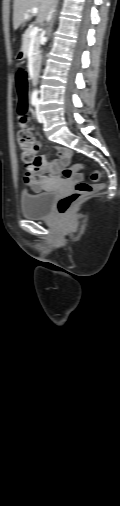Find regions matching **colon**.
<instances>
[{
	"label": "colon",
	"mask_w": 120,
	"mask_h": 506,
	"mask_svg": "<svg viewBox=\"0 0 120 506\" xmlns=\"http://www.w3.org/2000/svg\"><path fill=\"white\" fill-rule=\"evenodd\" d=\"M17 51V50H16ZM17 60H24L25 58H18ZM29 71L27 69H18L16 71V87L18 93V101H17V114L18 121L21 125H24L27 121V110H28V101H27V92H28V79ZM18 144L20 148L21 161L23 164V168L28 172H34L39 167V157L37 156L38 146L37 142L34 139L32 133L26 130H20L17 134ZM82 165H77L72 168H66L62 171V174L65 178H70L76 171L82 169ZM99 172H93L91 175V180L94 183H88L85 181H78L75 185V189L73 192L62 196L57 202V211L60 214L67 213L78 201L83 198L89 196L90 194L98 191L101 188V185L97 182L100 179Z\"/></svg>",
	"instance_id": "5ec220e1"
}]
</instances>
